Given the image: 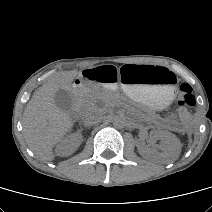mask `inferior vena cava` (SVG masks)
I'll return each mask as SVG.
<instances>
[{"label": "inferior vena cava", "mask_w": 212, "mask_h": 212, "mask_svg": "<svg viewBox=\"0 0 212 212\" xmlns=\"http://www.w3.org/2000/svg\"><path fill=\"white\" fill-rule=\"evenodd\" d=\"M102 116L95 110L89 111L83 117V122L85 126H91L99 123L102 120Z\"/></svg>", "instance_id": "1"}]
</instances>
